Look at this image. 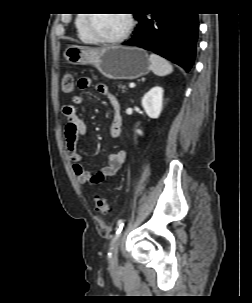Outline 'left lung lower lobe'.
Masks as SVG:
<instances>
[{"mask_svg": "<svg viewBox=\"0 0 252 303\" xmlns=\"http://www.w3.org/2000/svg\"><path fill=\"white\" fill-rule=\"evenodd\" d=\"M134 36L123 45L138 46L178 64L186 71L192 68L199 30L198 15L139 14Z\"/></svg>", "mask_w": 252, "mask_h": 303, "instance_id": "0a47b994", "label": "left lung lower lobe"}]
</instances>
